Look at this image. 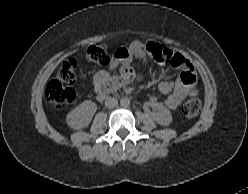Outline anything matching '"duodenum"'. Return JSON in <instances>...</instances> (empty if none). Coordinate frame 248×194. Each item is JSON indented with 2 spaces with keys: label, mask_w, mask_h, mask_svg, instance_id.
Instances as JSON below:
<instances>
[{
  "label": "duodenum",
  "mask_w": 248,
  "mask_h": 194,
  "mask_svg": "<svg viewBox=\"0 0 248 194\" xmlns=\"http://www.w3.org/2000/svg\"><path fill=\"white\" fill-rule=\"evenodd\" d=\"M107 97V94L106 93H101L100 95H99V98L100 99H104V98H106Z\"/></svg>",
  "instance_id": "duodenum-1"
}]
</instances>
